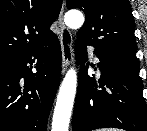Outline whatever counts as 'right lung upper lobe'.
<instances>
[{"instance_id":"1","label":"right lung upper lobe","mask_w":147,"mask_h":131,"mask_svg":"<svg viewBox=\"0 0 147 131\" xmlns=\"http://www.w3.org/2000/svg\"><path fill=\"white\" fill-rule=\"evenodd\" d=\"M62 0H0V62L44 46Z\"/></svg>"}]
</instances>
